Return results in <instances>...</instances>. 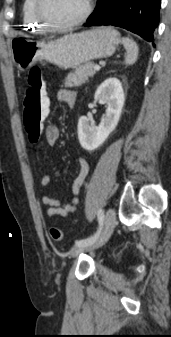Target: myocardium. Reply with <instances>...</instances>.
Masks as SVG:
<instances>
[{
  "mask_svg": "<svg viewBox=\"0 0 171 337\" xmlns=\"http://www.w3.org/2000/svg\"><path fill=\"white\" fill-rule=\"evenodd\" d=\"M86 6L81 15H79L76 19L65 22V23H56L53 22L45 12V3L46 0H36V15L38 20L49 30L52 31H63L67 29H71L79 24L83 23L92 12V2L91 0H86Z\"/></svg>",
  "mask_w": 171,
  "mask_h": 337,
  "instance_id": "f54148a6",
  "label": "myocardium"
}]
</instances>
